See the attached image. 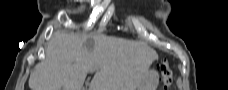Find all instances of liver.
I'll list each match as a JSON object with an SVG mask.
<instances>
[{"mask_svg":"<svg viewBox=\"0 0 228 90\" xmlns=\"http://www.w3.org/2000/svg\"><path fill=\"white\" fill-rule=\"evenodd\" d=\"M85 42L75 33L55 32L45 60L30 74L31 90H83L88 72H95L89 90H138L158 57L143 41L101 34L91 51Z\"/></svg>","mask_w":228,"mask_h":90,"instance_id":"liver-1","label":"liver"}]
</instances>
